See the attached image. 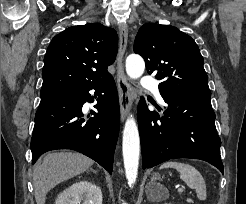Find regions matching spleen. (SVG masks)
<instances>
[{"label":"spleen","mask_w":246,"mask_h":204,"mask_svg":"<svg viewBox=\"0 0 246 204\" xmlns=\"http://www.w3.org/2000/svg\"><path fill=\"white\" fill-rule=\"evenodd\" d=\"M174 168L180 173V178L191 189H195L199 200L206 199V184L200 172L188 163L168 161L160 166V169Z\"/></svg>","instance_id":"spleen-1"}]
</instances>
